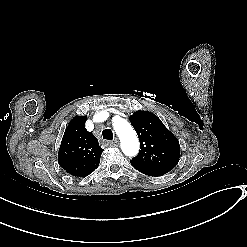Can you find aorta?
Masks as SVG:
<instances>
[{
	"label": "aorta",
	"mask_w": 247,
	"mask_h": 247,
	"mask_svg": "<svg viewBox=\"0 0 247 247\" xmlns=\"http://www.w3.org/2000/svg\"><path fill=\"white\" fill-rule=\"evenodd\" d=\"M113 128L120 138L123 153L129 157L135 156L139 151V140L130 123L117 117L113 120Z\"/></svg>",
	"instance_id": "762f6f07"
}]
</instances>
